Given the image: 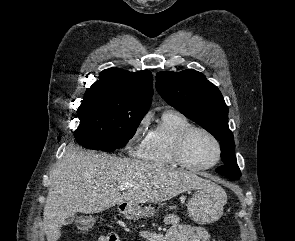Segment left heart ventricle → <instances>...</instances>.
Masks as SVG:
<instances>
[{
  "label": "left heart ventricle",
  "mask_w": 295,
  "mask_h": 241,
  "mask_svg": "<svg viewBox=\"0 0 295 241\" xmlns=\"http://www.w3.org/2000/svg\"><path fill=\"white\" fill-rule=\"evenodd\" d=\"M184 154L191 164L206 166L216 159L217 149L210 137L195 131L186 142Z\"/></svg>",
  "instance_id": "b2bd125f"
}]
</instances>
